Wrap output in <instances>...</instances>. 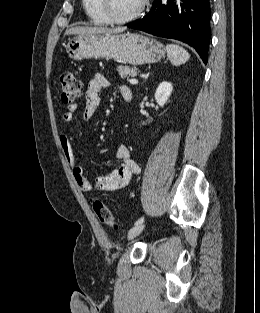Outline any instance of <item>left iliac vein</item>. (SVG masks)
<instances>
[{"mask_svg": "<svg viewBox=\"0 0 260 313\" xmlns=\"http://www.w3.org/2000/svg\"><path fill=\"white\" fill-rule=\"evenodd\" d=\"M144 227L145 224L143 222L132 227L128 232V238L134 239L135 237H137L143 231Z\"/></svg>", "mask_w": 260, "mask_h": 313, "instance_id": "1", "label": "left iliac vein"}]
</instances>
